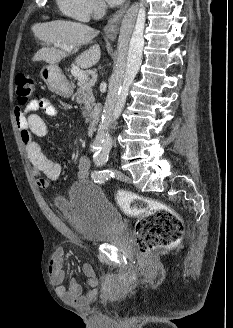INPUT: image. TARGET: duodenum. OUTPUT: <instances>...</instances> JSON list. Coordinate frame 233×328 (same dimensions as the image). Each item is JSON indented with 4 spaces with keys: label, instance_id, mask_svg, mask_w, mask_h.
I'll return each mask as SVG.
<instances>
[{
    "label": "duodenum",
    "instance_id": "duodenum-1",
    "mask_svg": "<svg viewBox=\"0 0 233 328\" xmlns=\"http://www.w3.org/2000/svg\"><path fill=\"white\" fill-rule=\"evenodd\" d=\"M99 113V106L96 107V109L93 111L92 115H91V122H90V128L91 130L94 128L95 123H96V119Z\"/></svg>",
    "mask_w": 233,
    "mask_h": 328
}]
</instances>
